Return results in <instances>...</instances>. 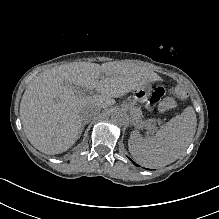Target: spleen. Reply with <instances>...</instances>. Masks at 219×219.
Here are the masks:
<instances>
[{
    "instance_id": "obj_1",
    "label": "spleen",
    "mask_w": 219,
    "mask_h": 219,
    "mask_svg": "<svg viewBox=\"0 0 219 219\" xmlns=\"http://www.w3.org/2000/svg\"><path fill=\"white\" fill-rule=\"evenodd\" d=\"M197 126L193 107L167 122L154 137L133 131L128 140L133 159L146 168H161L176 161L191 143Z\"/></svg>"
}]
</instances>
